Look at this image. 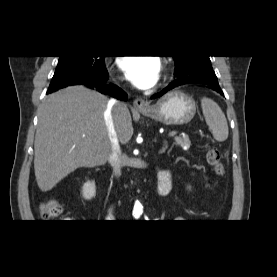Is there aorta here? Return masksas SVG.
Returning <instances> with one entry per match:
<instances>
[{
	"mask_svg": "<svg viewBox=\"0 0 277 277\" xmlns=\"http://www.w3.org/2000/svg\"><path fill=\"white\" fill-rule=\"evenodd\" d=\"M141 214H142V206L139 202H136L133 209V215L134 217L138 218Z\"/></svg>",
	"mask_w": 277,
	"mask_h": 277,
	"instance_id": "obj_1",
	"label": "aorta"
}]
</instances>
